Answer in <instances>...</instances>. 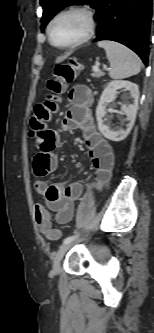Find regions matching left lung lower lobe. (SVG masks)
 <instances>
[{
  "label": "left lung lower lobe",
  "mask_w": 154,
  "mask_h": 333,
  "mask_svg": "<svg viewBox=\"0 0 154 333\" xmlns=\"http://www.w3.org/2000/svg\"><path fill=\"white\" fill-rule=\"evenodd\" d=\"M95 9L98 26L94 41L124 44L147 65L152 0H101Z\"/></svg>",
  "instance_id": "obj_1"
}]
</instances>
